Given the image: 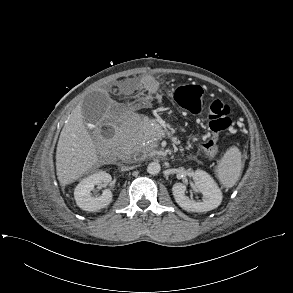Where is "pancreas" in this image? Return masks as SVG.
<instances>
[{"instance_id": "cf45deb5", "label": "pancreas", "mask_w": 293, "mask_h": 293, "mask_svg": "<svg viewBox=\"0 0 293 293\" xmlns=\"http://www.w3.org/2000/svg\"><path fill=\"white\" fill-rule=\"evenodd\" d=\"M133 135H134V131L127 130V131H125V132H123V133L120 134V141L121 142H126L127 139L129 137L133 136ZM156 143H157L156 141L152 142V146L155 147L156 146Z\"/></svg>"}]
</instances>
